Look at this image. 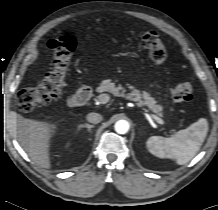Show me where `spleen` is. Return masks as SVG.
I'll use <instances>...</instances> for the list:
<instances>
[{
	"label": "spleen",
	"mask_w": 218,
	"mask_h": 210,
	"mask_svg": "<svg viewBox=\"0 0 218 210\" xmlns=\"http://www.w3.org/2000/svg\"><path fill=\"white\" fill-rule=\"evenodd\" d=\"M208 132L206 118H199L186 129L171 137L152 136L147 142L150 153L159 158L175 160L178 165L188 163L199 151Z\"/></svg>",
	"instance_id": "1"
}]
</instances>
